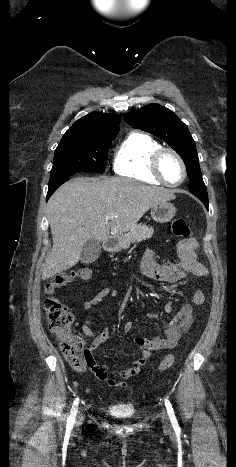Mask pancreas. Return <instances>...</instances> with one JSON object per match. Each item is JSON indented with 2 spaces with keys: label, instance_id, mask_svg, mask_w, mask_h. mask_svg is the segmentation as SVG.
I'll use <instances>...</instances> for the list:
<instances>
[{
  "label": "pancreas",
  "instance_id": "1",
  "mask_svg": "<svg viewBox=\"0 0 236 467\" xmlns=\"http://www.w3.org/2000/svg\"><path fill=\"white\" fill-rule=\"evenodd\" d=\"M154 229L146 224H138L118 238V247L126 249L131 243L141 242L152 237Z\"/></svg>",
  "mask_w": 236,
  "mask_h": 467
}]
</instances>
